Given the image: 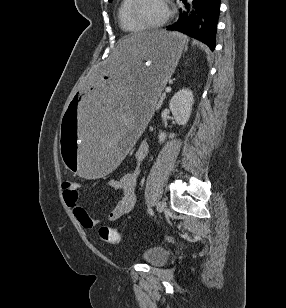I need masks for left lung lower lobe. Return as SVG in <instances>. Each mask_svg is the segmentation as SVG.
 I'll use <instances>...</instances> for the list:
<instances>
[{"label":"left lung lower lobe","mask_w":286,"mask_h":308,"mask_svg":"<svg viewBox=\"0 0 286 308\" xmlns=\"http://www.w3.org/2000/svg\"><path fill=\"white\" fill-rule=\"evenodd\" d=\"M193 8L195 10L190 17L187 16L186 11L180 10L179 19L167 27V30H177L194 37L207 44L213 51L220 0H193Z\"/></svg>","instance_id":"1"}]
</instances>
